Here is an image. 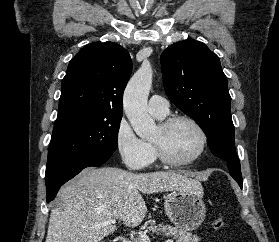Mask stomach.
Here are the masks:
<instances>
[{
  "instance_id": "0dacf381",
  "label": "stomach",
  "mask_w": 279,
  "mask_h": 242,
  "mask_svg": "<svg viewBox=\"0 0 279 242\" xmlns=\"http://www.w3.org/2000/svg\"><path fill=\"white\" fill-rule=\"evenodd\" d=\"M166 215L175 227L192 231L204 221L206 207L199 190L174 191L165 198Z\"/></svg>"
}]
</instances>
